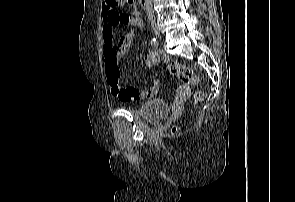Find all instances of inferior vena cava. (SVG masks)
<instances>
[{
  "label": "inferior vena cava",
  "mask_w": 295,
  "mask_h": 202,
  "mask_svg": "<svg viewBox=\"0 0 295 202\" xmlns=\"http://www.w3.org/2000/svg\"><path fill=\"white\" fill-rule=\"evenodd\" d=\"M147 6H146V12L149 20L155 19L154 10L152 6V0H146Z\"/></svg>",
  "instance_id": "inferior-vena-cava-1"
}]
</instances>
